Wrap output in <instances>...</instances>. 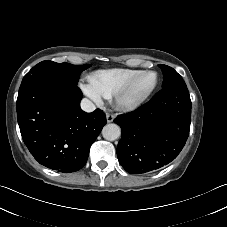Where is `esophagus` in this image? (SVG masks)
<instances>
[{
  "mask_svg": "<svg viewBox=\"0 0 227 227\" xmlns=\"http://www.w3.org/2000/svg\"><path fill=\"white\" fill-rule=\"evenodd\" d=\"M114 118H115V116L113 114H110V113L106 114V120L108 123L113 122Z\"/></svg>",
  "mask_w": 227,
  "mask_h": 227,
  "instance_id": "obj_1",
  "label": "esophagus"
}]
</instances>
